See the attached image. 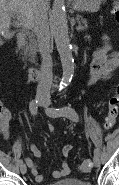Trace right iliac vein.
Here are the masks:
<instances>
[{"label": "right iliac vein", "instance_id": "obj_1", "mask_svg": "<svg viewBox=\"0 0 119 185\" xmlns=\"http://www.w3.org/2000/svg\"><path fill=\"white\" fill-rule=\"evenodd\" d=\"M39 105H44V100L40 99L39 100ZM20 171H21L22 174H25L26 173L27 167H26V165L24 163H22L20 165Z\"/></svg>", "mask_w": 119, "mask_h": 185}]
</instances>
